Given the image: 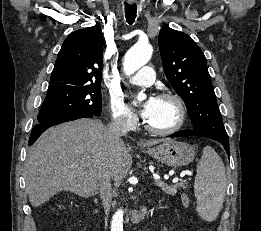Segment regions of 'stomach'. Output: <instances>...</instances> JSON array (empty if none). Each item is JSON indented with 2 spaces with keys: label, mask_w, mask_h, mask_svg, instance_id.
Returning a JSON list of instances; mask_svg holds the SVG:
<instances>
[{
  "label": "stomach",
  "mask_w": 261,
  "mask_h": 231,
  "mask_svg": "<svg viewBox=\"0 0 261 231\" xmlns=\"http://www.w3.org/2000/svg\"><path fill=\"white\" fill-rule=\"evenodd\" d=\"M158 162L170 167H181L191 163L196 155L194 146L175 140H166L145 151Z\"/></svg>",
  "instance_id": "1"
}]
</instances>
